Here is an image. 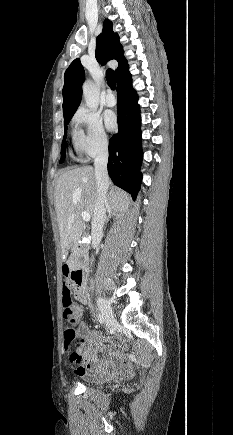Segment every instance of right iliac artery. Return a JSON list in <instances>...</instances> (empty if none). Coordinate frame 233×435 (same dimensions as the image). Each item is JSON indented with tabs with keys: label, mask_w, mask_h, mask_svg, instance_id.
<instances>
[{
	"label": "right iliac artery",
	"mask_w": 233,
	"mask_h": 435,
	"mask_svg": "<svg viewBox=\"0 0 233 435\" xmlns=\"http://www.w3.org/2000/svg\"><path fill=\"white\" fill-rule=\"evenodd\" d=\"M97 319L99 320L100 323H104V321H105L103 315H101V314H97Z\"/></svg>",
	"instance_id": "right-iliac-artery-1"
}]
</instances>
